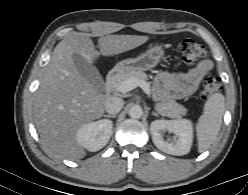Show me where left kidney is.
<instances>
[{
    "instance_id": "1",
    "label": "left kidney",
    "mask_w": 248,
    "mask_h": 195,
    "mask_svg": "<svg viewBox=\"0 0 248 195\" xmlns=\"http://www.w3.org/2000/svg\"><path fill=\"white\" fill-rule=\"evenodd\" d=\"M152 140L161 151L182 156L190 151L193 142V124L188 119L155 120L150 125ZM173 133L176 138L166 140L165 132Z\"/></svg>"
}]
</instances>
